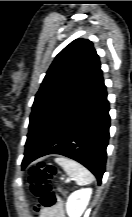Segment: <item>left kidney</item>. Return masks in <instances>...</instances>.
I'll use <instances>...</instances> for the list:
<instances>
[{
  "label": "left kidney",
  "mask_w": 132,
  "mask_h": 217,
  "mask_svg": "<svg viewBox=\"0 0 132 217\" xmlns=\"http://www.w3.org/2000/svg\"><path fill=\"white\" fill-rule=\"evenodd\" d=\"M92 190L84 188L73 192L67 200L66 211L69 217H81L86 209Z\"/></svg>",
  "instance_id": "1"
}]
</instances>
